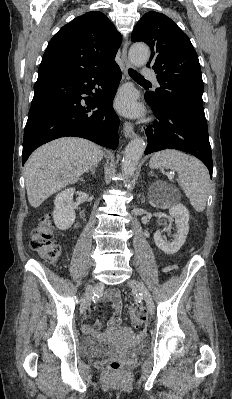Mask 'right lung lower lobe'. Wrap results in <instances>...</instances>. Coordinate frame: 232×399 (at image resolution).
Wrapping results in <instances>:
<instances>
[{"label": "right lung lower lobe", "mask_w": 232, "mask_h": 399, "mask_svg": "<svg viewBox=\"0 0 232 399\" xmlns=\"http://www.w3.org/2000/svg\"><path fill=\"white\" fill-rule=\"evenodd\" d=\"M120 79L116 62L86 71L39 73L24 129L23 164L37 147L63 136L116 149L119 118L112 103Z\"/></svg>", "instance_id": "right-lung-lower-lobe-1"}]
</instances>
